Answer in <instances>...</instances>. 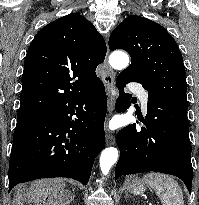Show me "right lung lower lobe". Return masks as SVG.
<instances>
[{
	"label": "right lung lower lobe",
	"instance_id": "right-lung-lower-lobe-1",
	"mask_svg": "<svg viewBox=\"0 0 199 205\" xmlns=\"http://www.w3.org/2000/svg\"><path fill=\"white\" fill-rule=\"evenodd\" d=\"M106 111L107 98L100 81L15 129L9 191L18 183L48 177L73 178L86 185L95 157L105 147Z\"/></svg>",
	"mask_w": 199,
	"mask_h": 205
}]
</instances>
